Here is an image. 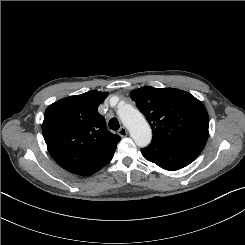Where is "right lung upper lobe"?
<instances>
[{"label": "right lung upper lobe", "mask_w": 245, "mask_h": 245, "mask_svg": "<svg viewBox=\"0 0 245 245\" xmlns=\"http://www.w3.org/2000/svg\"><path fill=\"white\" fill-rule=\"evenodd\" d=\"M108 92L63 98L45 111L42 133L52 158L65 170L89 176L108 164L120 136L110 133L97 112Z\"/></svg>", "instance_id": "right-lung-upper-lobe-1"}]
</instances>
